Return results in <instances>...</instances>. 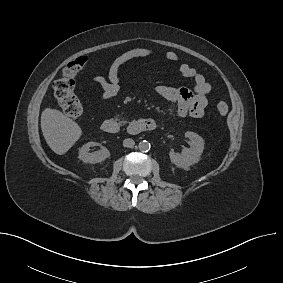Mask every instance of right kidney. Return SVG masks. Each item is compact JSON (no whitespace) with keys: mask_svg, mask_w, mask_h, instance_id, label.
<instances>
[{"mask_svg":"<svg viewBox=\"0 0 283 283\" xmlns=\"http://www.w3.org/2000/svg\"><path fill=\"white\" fill-rule=\"evenodd\" d=\"M95 142H88L85 145L82 146V148L79 150V159L82 160L85 163H99L104 160H106L108 157H110V152L107 148L102 147L100 151L90 153L89 149L90 147L95 146Z\"/></svg>","mask_w":283,"mask_h":283,"instance_id":"obj_1","label":"right kidney"}]
</instances>
